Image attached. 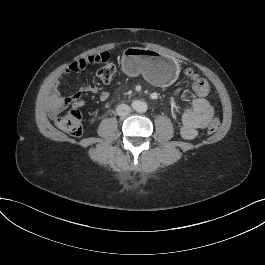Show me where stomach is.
I'll return each mask as SVG.
<instances>
[{
	"instance_id": "obj_1",
	"label": "stomach",
	"mask_w": 265,
	"mask_h": 265,
	"mask_svg": "<svg viewBox=\"0 0 265 265\" xmlns=\"http://www.w3.org/2000/svg\"><path fill=\"white\" fill-rule=\"evenodd\" d=\"M122 68L129 76L142 74L147 80L168 86L178 77V63L175 58L147 48L129 47L122 55Z\"/></svg>"
}]
</instances>
